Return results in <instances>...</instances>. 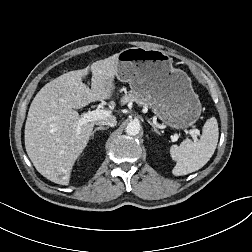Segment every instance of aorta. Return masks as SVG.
<instances>
[{
	"mask_svg": "<svg viewBox=\"0 0 252 252\" xmlns=\"http://www.w3.org/2000/svg\"><path fill=\"white\" fill-rule=\"evenodd\" d=\"M125 131L130 136L138 135L140 132V124L138 122L132 121L127 124Z\"/></svg>",
	"mask_w": 252,
	"mask_h": 252,
	"instance_id": "762f6f07",
	"label": "aorta"
}]
</instances>
